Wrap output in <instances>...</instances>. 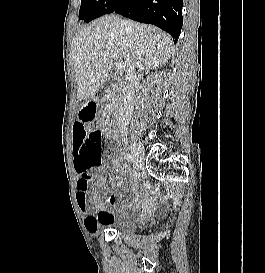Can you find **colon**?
Segmentation results:
<instances>
[{"instance_id": "5ec220e1", "label": "colon", "mask_w": 265, "mask_h": 273, "mask_svg": "<svg viewBox=\"0 0 265 273\" xmlns=\"http://www.w3.org/2000/svg\"><path fill=\"white\" fill-rule=\"evenodd\" d=\"M76 136L79 168L87 174L100 164L103 132L99 129H76Z\"/></svg>"}]
</instances>
